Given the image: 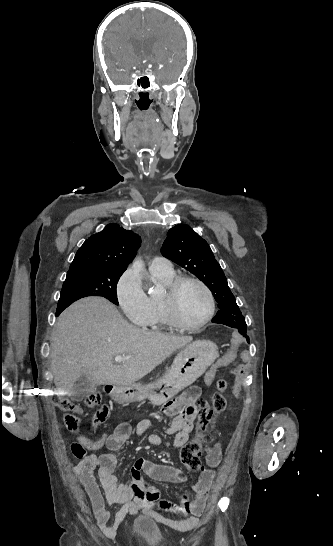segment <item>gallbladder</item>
<instances>
[{
	"mask_svg": "<svg viewBox=\"0 0 333 546\" xmlns=\"http://www.w3.org/2000/svg\"><path fill=\"white\" fill-rule=\"evenodd\" d=\"M96 390V386H93L85 375H81L75 382L74 395L80 401L88 393H94Z\"/></svg>",
	"mask_w": 333,
	"mask_h": 546,
	"instance_id": "1",
	"label": "gallbladder"
}]
</instances>
